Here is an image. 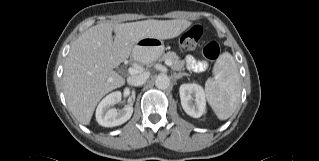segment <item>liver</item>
<instances>
[{"instance_id":"1","label":"liver","mask_w":319,"mask_h":161,"mask_svg":"<svg viewBox=\"0 0 319 161\" xmlns=\"http://www.w3.org/2000/svg\"><path fill=\"white\" fill-rule=\"evenodd\" d=\"M190 25L184 19H152L122 24L103 22L86 30L71 45L64 65L63 91L74 117L88 125L101 98L125 84V79L113 69L129 58L140 39H171Z\"/></svg>"}]
</instances>
